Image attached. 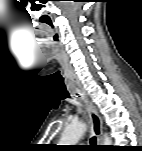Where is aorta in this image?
<instances>
[{
  "label": "aorta",
  "instance_id": "obj_1",
  "mask_svg": "<svg viewBox=\"0 0 142 151\" xmlns=\"http://www.w3.org/2000/svg\"><path fill=\"white\" fill-rule=\"evenodd\" d=\"M86 131V124L74 122L66 127L60 138V145H76ZM112 140L105 134L104 145H111Z\"/></svg>",
  "mask_w": 142,
  "mask_h": 151
}]
</instances>
